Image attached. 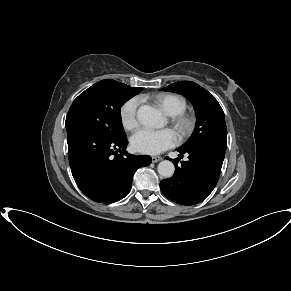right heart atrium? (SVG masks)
Listing matches in <instances>:
<instances>
[{"label":"right heart atrium","mask_w":291,"mask_h":291,"mask_svg":"<svg viewBox=\"0 0 291 291\" xmlns=\"http://www.w3.org/2000/svg\"><path fill=\"white\" fill-rule=\"evenodd\" d=\"M140 99L132 97L122 104L119 111L120 121L126 130H134L138 126V108Z\"/></svg>","instance_id":"obj_1"}]
</instances>
